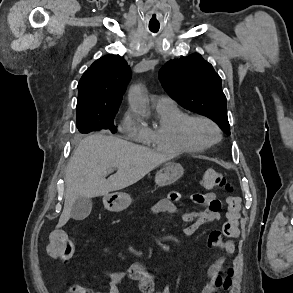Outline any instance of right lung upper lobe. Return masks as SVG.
Listing matches in <instances>:
<instances>
[{
  "label": "right lung upper lobe",
  "instance_id": "obj_1",
  "mask_svg": "<svg viewBox=\"0 0 293 293\" xmlns=\"http://www.w3.org/2000/svg\"><path fill=\"white\" fill-rule=\"evenodd\" d=\"M130 78V67L122 57L113 54L101 57L84 72L78 84L77 112H117Z\"/></svg>",
  "mask_w": 293,
  "mask_h": 293
}]
</instances>
